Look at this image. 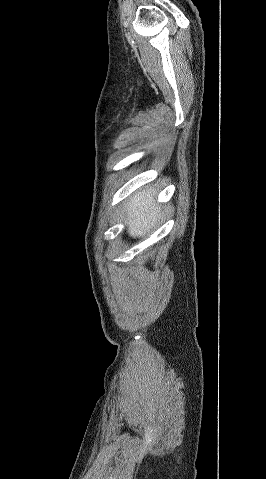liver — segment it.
<instances>
[{
    "label": "liver",
    "instance_id": "1",
    "mask_svg": "<svg viewBox=\"0 0 266 479\" xmlns=\"http://www.w3.org/2000/svg\"><path fill=\"white\" fill-rule=\"evenodd\" d=\"M156 191H138L126 203V221L131 237H144L161 219V207L155 204Z\"/></svg>",
    "mask_w": 266,
    "mask_h": 479
}]
</instances>
